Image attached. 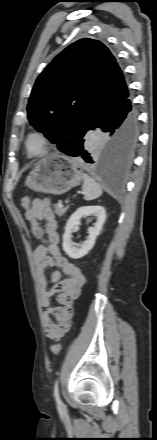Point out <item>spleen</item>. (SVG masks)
Here are the masks:
<instances>
[{"instance_id":"1","label":"spleen","mask_w":157,"mask_h":440,"mask_svg":"<svg viewBox=\"0 0 157 440\" xmlns=\"http://www.w3.org/2000/svg\"><path fill=\"white\" fill-rule=\"evenodd\" d=\"M82 180V191L84 194V200L91 201L102 195V189L100 185L93 178L83 173Z\"/></svg>"}]
</instances>
